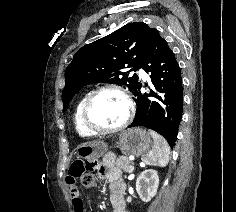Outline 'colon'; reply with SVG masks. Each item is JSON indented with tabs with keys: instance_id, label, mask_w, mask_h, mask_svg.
<instances>
[{
	"instance_id": "obj_1",
	"label": "colon",
	"mask_w": 236,
	"mask_h": 212,
	"mask_svg": "<svg viewBox=\"0 0 236 212\" xmlns=\"http://www.w3.org/2000/svg\"><path fill=\"white\" fill-rule=\"evenodd\" d=\"M72 175H78L82 180V185L84 187L90 188L95 185L96 176H95V165L92 162H76L72 166L71 170Z\"/></svg>"
}]
</instances>
